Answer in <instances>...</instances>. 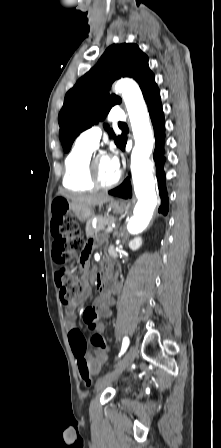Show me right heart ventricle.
Instances as JSON below:
<instances>
[{"label":"right heart ventricle","mask_w":221,"mask_h":448,"mask_svg":"<svg viewBox=\"0 0 221 448\" xmlns=\"http://www.w3.org/2000/svg\"><path fill=\"white\" fill-rule=\"evenodd\" d=\"M94 148L77 142L65 159L63 185L73 191H89L95 188L89 178V158Z\"/></svg>","instance_id":"right-heart-ventricle-1"}]
</instances>
